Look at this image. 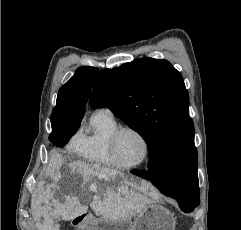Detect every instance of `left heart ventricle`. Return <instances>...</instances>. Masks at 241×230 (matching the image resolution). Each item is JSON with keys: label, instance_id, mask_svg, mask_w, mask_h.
<instances>
[{"label": "left heart ventricle", "instance_id": "left-heart-ventricle-1", "mask_svg": "<svg viewBox=\"0 0 241 230\" xmlns=\"http://www.w3.org/2000/svg\"><path fill=\"white\" fill-rule=\"evenodd\" d=\"M144 152V143L135 133L126 131L121 134L117 143V157L120 162L137 163L143 158Z\"/></svg>", "mask_w": 241, "mask_h": 230}]
</instances>
